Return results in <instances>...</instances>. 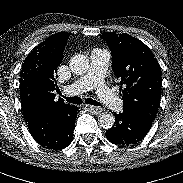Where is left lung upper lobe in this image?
<instances>
[{
	"instance_id": "1",
	"label": "left lung upper lobe",
	"mask_w": 183,
	"mask_h": 183,
	"mask_svg": "<svg viewBox=\"0 0 183 183\" xmlns=\"http://www.w3.org/2000/svg\"><path fill=\"white\" fill-rule=\"evenodd\" d=\"M113 72L122 87L123 108L155 119L161 96V68L151 50L128 34L106 32Z\"/></svg>"
}]
</instances>
